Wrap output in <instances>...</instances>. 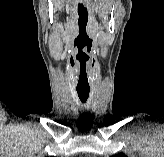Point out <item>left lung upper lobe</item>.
I'll list each match as a JSON object with an SVG mask.
<instances>
[{"mask_svg": "<svg viewBox=\"0 0 164 157\" xmlns=\"http://www.w3.org/2000/svg\"><path fill=\"white\" fill-rule=\"evenodd\" d=\"M111 157H128V156H126L125 154L119 153V154L113 155Z\"/></svg>", "mask_w": 164, "mask_h": 157, "instance_id": "obj_1", "label": "left lung upper lobe"}]
</instances>
